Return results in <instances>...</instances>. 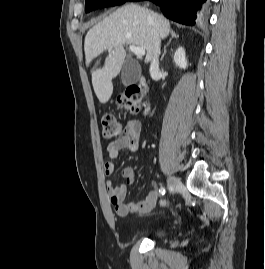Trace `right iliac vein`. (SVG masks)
Instances as JSON below:
<instances>
[{"mask_svg":"<svg viewBox=\"0 0 265 269\" xmlns=\"http://www.w3.org/2000/svg\"><path fill=\"white\" fill-rule=\"evenodd\" d=\"M168 185L170 187V193L174 194L176 190H178L181 187L180 180L175 176H169L168 177Z\"/></svg>","mask_w":265,"mask_h":269,"instance_id":"1","label":"right iliac vein"}]
</instances>
